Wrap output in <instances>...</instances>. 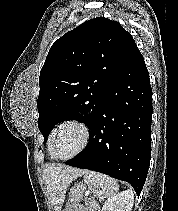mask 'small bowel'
Wrapping results in <instances>:
<instances>
[{
    "mask_svg": "<svg viewBox=\"0 0 178 211\" xmlns=\"http://www.w3.org/2000/svg\"><path fill=\"white\" fill-rule=\"evenodd\" d=\"M76 211H100V206L97 202L87 199L84 205L80 206Z\"/></svg>",
    "mask_w": 178,
    "mask_h": 211,
    "instance_id": "1",
    "label": "small bowel"
}]
</instances>
